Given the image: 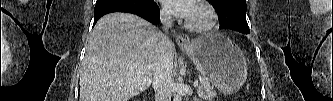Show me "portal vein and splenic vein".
<instances>
[{
    "instance_id": "obj_1",
    "label": "portal vein and splenic vein",
    "mask_w": 333,
    "mask_h": 101,
    "mask_svg": "<svg viewBox=\"0 0 333 101\" xmlns=\"http://www.w3.org/2000/svg\"><path fill=\"white\" fill-rule=\"evenodd\" d=\"M198 87V81L196 80L195 82H194V88H197Z\"/></svg>"
}]
</instances>
